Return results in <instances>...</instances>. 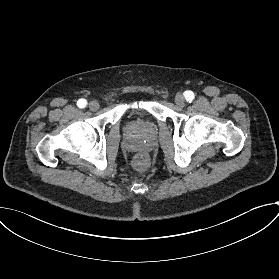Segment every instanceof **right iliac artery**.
<instances>
[{"mask_svg":"<svg viewBox=\"0 0 279 279\" xmlns=\"http://www.w3.org/2000/svg\"><path fill=\"white\" fill-rule=\"evenodd\" d=\"M86 105H87V101H86L85 99H79V100L77 101V106H78L79 108H85Z\"/></svg>","mask_w":279,"mask_h":279,"instance_id":"obj_1","label":"right iliac artery"}]
</instances>
